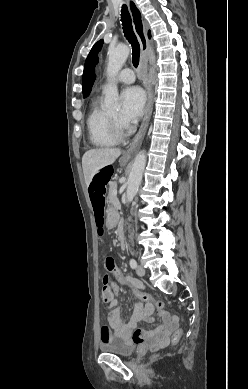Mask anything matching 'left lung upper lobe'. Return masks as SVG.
Returning <instances> with one entry per match:
<instances>
[{
	"label": "left lung upper lobe",
	"mask_w": 248,
	"mask_h": 389,
	"mask_svg": "<svg viewBox=\"0 0 248 389\" xmlns=\"http://www.w3.org/2000/svg\"><path fill=\"white\" fill-rule=\"evenodd\" d=\"M103 40H99L92 47L84 65L83 72V97H87L95 81V66L98 64V52L101 50Z\"/></svg>",
	"instance_id": "obj_1"
}]
</instances>
